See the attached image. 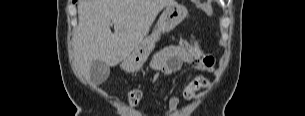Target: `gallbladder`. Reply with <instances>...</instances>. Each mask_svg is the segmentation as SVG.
Listing matches in <instances>:
<instances>
[{
	"instance_id": "gallbladder-1",
	"label": "gallbladder",
	"mask_w": 305,
	"mask_h": 116,
	"mask_svg": "<svg viewBox=\"0 0 305 116\" xmlns=\"http://www.w3.org/2000/svg\"><path fill=\"white\" fill-rule=\"evenodd\" d=\"M110 74L109 66L101 60L93 61L90 69V79L95 85L104 83Z\"/></svg>"
}]
</instances>
